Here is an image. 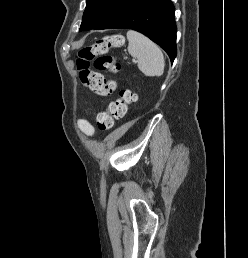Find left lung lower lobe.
Instances as JSON below:
<instances>
[{
	"mask_svg": "<svg viewBox=\"0 0 248 258\" xmlns=\"http://www.w3.org/2000/svg\"><path fill=\"white\" fill-rule=\"evenodd\" d=\"M171 0H128L122 9L94 29H133L157 43L173 63L176 54V23Z\"/></svg>",
	"mask_w": 248,
	"mask_h": 258,
	"instance_id": "left-lung-lower-lobe-1",
	"label": "left lung lower lobe"
}]
</instances>
